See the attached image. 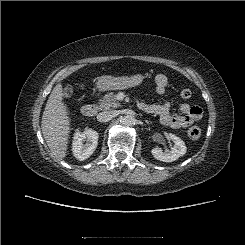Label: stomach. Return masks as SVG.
I'll return each mask as SVG.
<instances>
[{
  "mask_svg": "<svg viewBox=\"0 0 245 245\" xmlns=\"http://www.w3.org/2000/svg\"><path fill=\"white\" fill-rule=\"evenodd\" d=\"M144 79L145 76L141 74L119 77L104 75L98 79L96 87L99 91L123 90L141 85Z\"/></svg>",
  "mask_w": 245,
  "mask_h": 245,
  "instance_id": "1",
  "label": "stomach"
}]
</instances>
